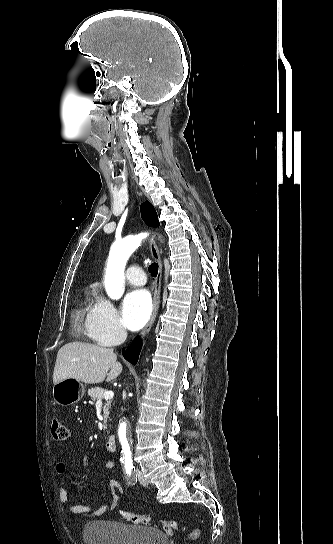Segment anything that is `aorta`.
Listing matches in <instances>:
<instances>
[{"label":"aorta","mask_w":333,"mask_h":544,"mask_svg":"<svg viewBox=\"0 0 333 544\" xmlns=\"http://www.w3.org/2000/svg\"><path fill=\"white\" fill-rule=\"evenodd\" d=\"M145 236L146 234L127 236L112 245L104 279L106 293L111 299L118 300L122 297L124 293V270L127 260L139 247L141 240ZM119 438L124 454L130 458L132 434L126 421L120 424Z\"/></svg>","instance_id":"obj_1"}]
</instances>
